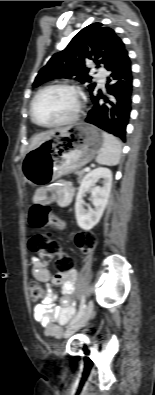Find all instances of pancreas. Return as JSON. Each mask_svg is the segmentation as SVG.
Returning a JSON list of instances; mask_svg holds the SVG:
<instances>
[{"mask_svg":"<svg viewBox=\"0 0 155 395\" xmlns=\"http://www.w3.org/2000/svg\"><path fill=\"white\" fill-rule=\"evenodd\" d=\"M84 173H85L84 171H77L76 172V174L78 175V181L81 180V178L83 177Z\"/></svg>","mask_w":155,"mask_h":395,"instance_id":"obj_1","label":"pancreas"}]
</instances>
